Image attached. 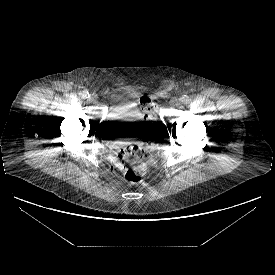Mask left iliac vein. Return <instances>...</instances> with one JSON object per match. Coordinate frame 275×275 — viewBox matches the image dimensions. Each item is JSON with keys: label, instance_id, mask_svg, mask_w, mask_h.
<instances>
[{"label": "left iliac vein", "instance_id": "left-iliac-vein-1", "mask_svg": "<svg viewBox=\"0 0 275 275\" xmlns=\"http://www.w3.org/2000/svg\"><path fill=\"white\" fill-rule=\"evenodd\" d=\"M180 103H181V100H180L178 97H174V98H172L171 101H170V105H171V107H173V108L179 106Z\"/></svg>", "mask_w": 275, "mask_h": 275}]
</instances>
